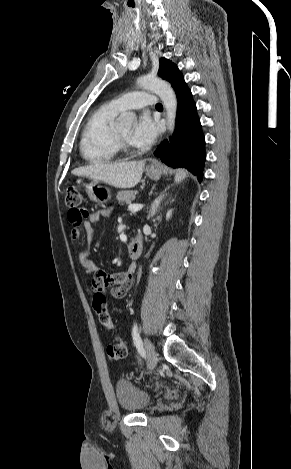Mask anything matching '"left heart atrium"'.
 Returning <instances> with one entry per match:
<instances>
[{
  "instance_id": "left-heart-atrium-1",
  "label": "left heart atrium",
  "mask_w": 291,
  "mask_h": 469,
  "mask_svg": "<svg viewBox=\"0 0 291 469\" xmlns=\"http://www.w3.org/2000/svg\"><path fill=\"white\" fill-rule=\"evenodd\" d=\"M158 135L157 123L148 113H143L138 118L130 134V142L137 147L150 146Z\"/></svg>"
}]
</instances>
